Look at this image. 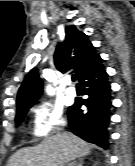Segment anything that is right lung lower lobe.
Instances as JSON below:
<instances>
[{"label": "right lung lower lobe", "instance_id": "obj_1", "mask_svg": "<svg viewBox=\"0 0 135 166\" xmlns=\"http://www.w3.org/2000/svg\"><path fill=\"white\" fill-rule=\"evenodd\" d=\"M102 62L101 59L79 77V82L84 87V94L89 97L77 98L74 105L69 107L68 125L71 131L82 139L107 148V127L112 103L111 87ZM82 105L87 109L81 110Z\"/></svg>", "mask_w": 135, "mask_h": 166}]
</instances>
